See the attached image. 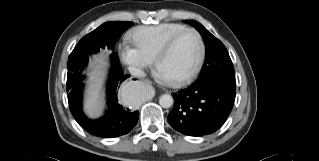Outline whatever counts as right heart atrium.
<instances>
[{
    "label": "right heart atrium",
    "mask_w": 319,
    "mask_h": 161,
    "mask_svg": "<svg viewBox=\"0 0 319 161\" xmlns=\"http://www.w3.org/2000/svg\"><path fill=\"white\" fill-rule=\"evenodd\" d=\"M119 50L123 61L128 65L145 68L150 64V61L146 59L134 46L122 45Z\"/></svg>",
    "instance_id": "right-heart-atrium-1"
}]
</instances>
